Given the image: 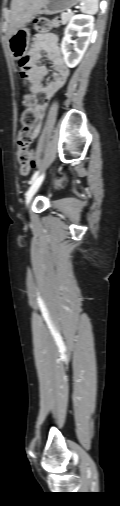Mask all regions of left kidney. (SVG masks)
<instances>
[{
  "instance_id": "5707ae66",
  "label": "left kidney",
  "mask_w": 120,
  "mask_h": 506,
  "mask_svg": "<svg viewBox=\"0 0 120 506\" xmlns=\"http://www.w3.org/2000/svg\"><path fill=\"white\" fill-rule=\"evenodd\" d=\"M93 29V17L78 14L71 18L61 43L64 62L68 67L73 68L81 61L92 39ZM74 34L78 37L77 40H72Z\"/></svg>"
}]
</instances>
